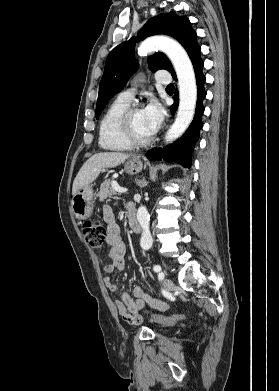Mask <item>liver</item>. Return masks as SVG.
<instances>
[{
	"mask_svg": "<svg viewBox=\"0 0 279 391\" xmlns=\"http://www.w3.org/2000/svg\"><path fill=\"white\" fill-rule=\"evenodd\" d=\"M129 154L118 152H102L91 156L81 167L76 175L72 195L80 189L90 185L99 176L103 168H114L129 158Z\"/></svg>",
	"mask_w": 279,
	"mask_h": 391,
	"instance_id": "liver-1",
	"label": "liver"
}]
</instances>
